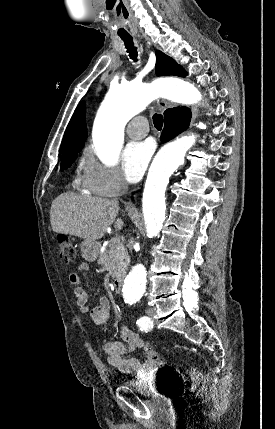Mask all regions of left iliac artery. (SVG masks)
<instances>
[{"label": "left iliac artery", "mask_w": 275, "mask_h": 429, "mask_svg": "<svg viewBox=\"0 0 275 429\" xmlns=\"http://www.w3.org/2000/svg\"><path fill=\"white\" fill-rule=\"evenodd\" d=\"M137 325L139 326L140 330L148 331L152 328V321L150 318L143 316L137 320Z\"/></svg>", "instance_id": "1"}]
</instances>
